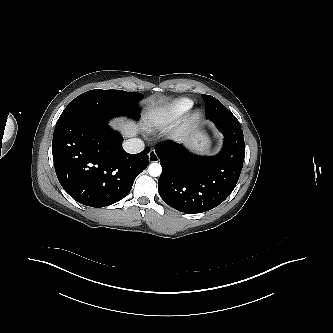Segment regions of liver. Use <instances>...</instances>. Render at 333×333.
<instances>
[{
	"instance_id": "6515ba94",
	"label": "liver",
	"mask_w": 333,
	"mask_h": 333,
	"mask_svg": "<svg viewBox=\"0 0 333 333\" xmlns=\"http://www.w3.org/2000/svg\"><path fill=\"white\" fill-rule=\"evenodd\" d=\"M152 106H154L152 104ZM153 108V107H152ZM153 110V109H152ZM114 125L117 127V128H120L127 137H132V136H135L138 132H139V128L138 127H135L134 128V125L133 123H130V124H124L123 122L121 121H115L114 122Z\"/></svg>"
}]
</instances>
